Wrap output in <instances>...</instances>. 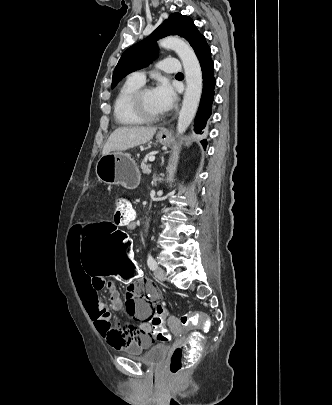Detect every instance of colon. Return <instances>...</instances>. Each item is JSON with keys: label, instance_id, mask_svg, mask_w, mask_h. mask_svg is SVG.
Masks as SVG:
<instances>
[{"label": "colon", "instance_id": "1", "mask_svg": "<svg viewBox=\"0 0 332 405\" xmlns=\"http://www.w3.org/2000/svg\"><path fill=\"white\" fill-rule=\"evenodd\" d=\"M115 215L118 220L128 221L135 215V208L127 196L116 198ZM80 262H84L87 275H109L110 280L119 281L121 287H128L130 282H138L142 276L141 268L131 256L132 242L130 234L113 226V220H81ZM134 261V262H133ZM149 288H156L151 285ZM150 318L152 333L156 341L170 340L169 326L165 322L170 315V304L161 301ZM179 325L186 329L200 326L208 330L209 317L205 312L195 311L182 315ZM203 335L199 332L190 334L188 341L174 348L169 369L178 376L188 369L199 357V347Z\"/></svg>", "mask_w": 332, "mask_h": 405}]
</instances>
